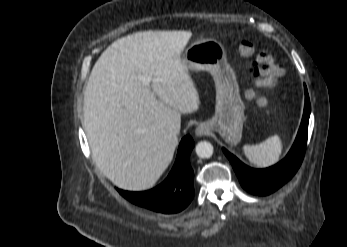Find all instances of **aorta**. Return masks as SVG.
Segmentation results:
<instances>
[{"instance_id":"aorta-1","label":"aorta","mask_w":347,"mask_h":247,"mask_svg":"<svg viewBox=\"0 0 347 247\" xmlns=\"http://www.w3.org/2000/svg\"><path fill=\"white\" fill-rule=\"evenodd\" d=\"M196 154L200 158H210L213 155V145L208 141H201L196 145Z\"/></svg>"}]
</instances>
